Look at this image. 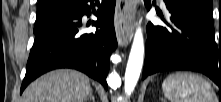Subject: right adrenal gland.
Masks as SVG:
<instances>
[{
    "mask_svg": "<svg viewBox=\"0 0 221 102\" xmlns=\"http://www.w3.org/2000/svg\"><path fill=\"white\" fill-rule=\"evenodd\" d=\"M90 100L91 102H95V97L93 96L92 90L89 91V96L86 98L85 102Z\"/></svg>",
    "mask_w": 221,
    "mask_h": 102,
    "instance_id": "obj_1",
    "label": "right adrenal gland"
}]
</instances>
